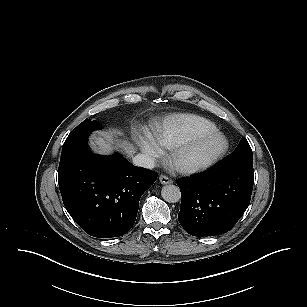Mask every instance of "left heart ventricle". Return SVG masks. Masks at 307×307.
<instances>
[{"label":"left heart ventricle","instance_id":"left-heart-ventricle-1","mask_svg":"<svg viewBox=\"0 0 307 307\" xmlns=\"http://www.w3.org/2000/svg\"><path fill=\"white\" fill-rule=\"evenodd\" d=\"M218 145L217 142H210L208 144H206L203 148V152H209V151H212L213 149L216 148V146Z\"/></svg>","mask_w":307,"mask_h":307}]
</instances>
